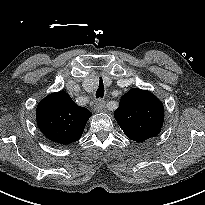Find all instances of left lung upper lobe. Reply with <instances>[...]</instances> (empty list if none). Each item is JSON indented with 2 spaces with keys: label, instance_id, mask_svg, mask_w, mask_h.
Here are the masks:
<instances>
[{
  "label": "left lung upper lobe",
  "instance_id": "5c2ea615",
  "mask_svg": "<svg viewBox=\"0 0 205 205\" xmlns=\"http://www.w3.org/2000/svg\"><path fill=\"white\" fill-rule=\"evenodd\" d=\"M114 116L129 139L143 142L160 133L164 108L149 91L133 88L121 97Z\"/></svg>",
  "mask_w": 205,
  "mask_h": 205
}]
</instances>
